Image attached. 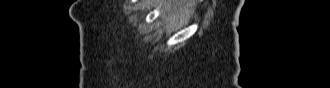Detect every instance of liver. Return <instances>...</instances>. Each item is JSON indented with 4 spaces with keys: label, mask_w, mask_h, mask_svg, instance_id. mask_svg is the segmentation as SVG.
<instances>
[{
    "label": "liver",
    "mask_w": 330,
    "mask_h": 88,
    "mask_svg": "<svg viewBox=\"0 0 330 88\" xmlns=\"http://www.w3.org/2000/svg\"><path fill=\"white\" fill-rule=\"evenodd\" d=\"M195 9V4L192 2L172 1L164 7V16L181 20L189 17Z\"/></svg>",
    "instance_id": "6515ba94"
}]
</instances>
